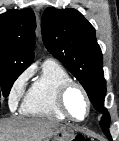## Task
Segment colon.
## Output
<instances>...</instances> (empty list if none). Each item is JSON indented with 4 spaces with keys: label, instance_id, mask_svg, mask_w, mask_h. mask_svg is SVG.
<instances>
[{
    "label": "colon",
    "instance_id": "5ec220e1",
    "mask_svg": "<svg viewBox=\"0 0 119 141\" xmlns=\"http://www.w3.org/2000/svg\"><path fill=\"white\" fill-rule=\"evenodd\" d=\"M73 141H88V139L83 135H77Z\"/></svg>",
    "mask_w": 119,
    "mask_h": 141
}]
</instances>
